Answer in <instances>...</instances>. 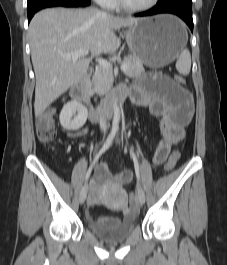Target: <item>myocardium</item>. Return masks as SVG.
Here are the masks:
<instances>
[{
    "label": "myocardium",
    "mask_w": 227,
    "mask_h": 265,
    "mask_svg": "<svg viewBox=\"0 0 227 265\" xmlns=\"http://www.w3.org/2000/svg\"><path fill=\"white\" fill-rule=\"evenodd\" d=\"M158 2H159V0H151L146 5L134 7V6H130V5L126 4L124 0H117L118 5L123 10L130 12V13H141V12L148 11V10L152 9L153 7H155Z\"/></svg>",
    "instance_id": "myocardium-1"
}]
</instances>
